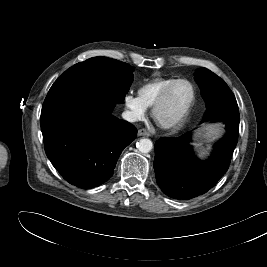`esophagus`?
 <instances>
[{"label":"esophagus","instance_id":"34e87169","mask_svg":"<svg viewBox=\"0 0 267 267\" xmlns=\"http://www.w3.org/2000/svg\"><path fill=\"white\" fill-rule=\"evenodd\" d=\"M138 136H150V133L146 129H139Z\"/></svg>","mask_w":267,"mask_h":267}]
</instances>
